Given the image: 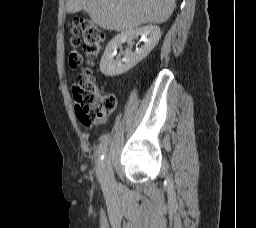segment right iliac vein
Listing matches in <instances>:
<instances>
[{
	"label": "right iliac vein",
	"instance_id": "right-iliac-vein-1",
	"mask_svg": "<svg viewBox=\"0 0 256 228\" xmlns=\"http://www.w3.org/2000/svg\"><path fill=\"white\" fill-rule=\"evenodd\" d=\"M107 147H110V144H107ZM104 157H107V154H104ZM102 178L104 180V182L110 186V187H113L114 184H115V181H114V178H113V175L111 174L110 171H108L106 168L103 170L102 172Z\"/></svg>",
	"mask_w": 256,
	"mask_h": 228
}]
</instances>
